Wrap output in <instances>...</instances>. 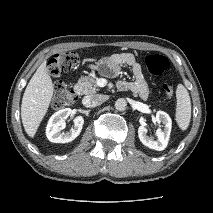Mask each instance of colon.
Segmentation results:
<instances>
[{
  "label": "colon",
  "mask_w": 213,
  "mask_h": 213,
  "mask_svg": "<svg viewBox=\"0 0 213 213\" xmlns=\"http://www.w3.org/2000/svg\"><path fill=\"white\" fill-rule=\"evenodd\" d=\"M80 63V58L75 52H62L55 54L48 62V69L52 75L58 76L75 69ZM146 66L151 74L161 75L169 67L166 57L158 54L149 55L145 60ZM162 91L166 98H171L174 87L167 81L162 84ZM77 100L75 91L64 82H59L55 86L52 105L56 109H61L73 104Z\"/></svg>",
  "instance_id": "obj_1"
}]
</instances>
